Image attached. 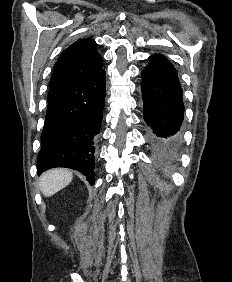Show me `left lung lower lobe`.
I'll list each match as a JSON object with an SVG mask.
<instances>
[{"mask_svg": "<svg viewBox=\"0 0 232 282\" xmlns=\"http://www.w3.org/2000/svg\"><path fill=\"white\" fill-rule=\"evenodd\" d=\"M141 76L144 120L150 128L154 148H169L180 142L184 117L182 88L177 70L161 54L149 57Z\"/></svg>", "mask_w": 232, "mask_h": 282, "instance_id": "0a47b994", "label": "left lung lower lobe"}]
</instances>
